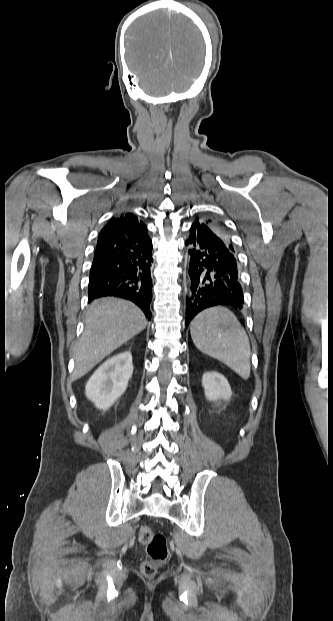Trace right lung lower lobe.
Masks as SVG:
<instances>
[{
    "label": "right lung lower lobe",
    "instance_id": "obj_1",
    "mask_svg": "<svg viewBox=\"0 0 333 621\" xmlns=\"http://www.w3.org/2000/svg\"><path fill=\"white\" fill-rule=\"evenodd\" d=\"M151 249L152 244L137 249L113 244L97 246L90 270L89 302L103 296L124 298L138 305L150 320Z\"/></svg>",
    "mask_w": 333,
    "mask_h": 621
}]
</instances>
